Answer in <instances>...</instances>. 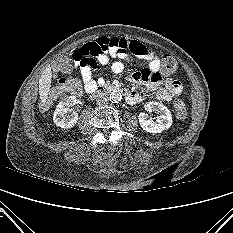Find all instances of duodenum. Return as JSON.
<instances>
[{"instance_id":"1","label":"duodenum","mask_w":233,"mask_h":233,"mask_svg":"<svg viewBox=\"0 0 233 233\" xmlns=\"http://www.w3.org/2000/svg\"><path fill=\"white\" fill-rule=\"evenodd\" d=\"M114 91H119L122 94H124L126 97L130 96L129 91H127L125 88L119 85H114V84H100L94 89L92 94L94 96H99V95L108 94Z\"/></svg>"}]
</instances>
